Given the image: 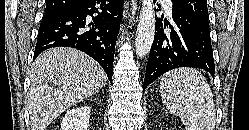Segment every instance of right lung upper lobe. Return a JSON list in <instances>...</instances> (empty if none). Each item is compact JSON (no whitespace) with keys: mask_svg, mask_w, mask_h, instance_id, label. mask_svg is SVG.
<instances>
[{"mask_svg":"<svg viewBox=\"0 0 249 130\" xmlns=\"http://www.w3.org/2000/svg\"><path fill=\"white\" fill-rule=\"evenodd\" d=\"M83 0H47L45 13L58 15L72 10Z\"/></svg>","mask_w":249,"mask_h":130,"instance_id":"cb5924a9","label":"right lung upper lobe"}]
</instances>
